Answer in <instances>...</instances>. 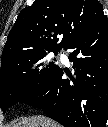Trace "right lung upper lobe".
<instances>
[{
	"mask_svg": "<svg viewBox=\"0 0 108 127\" xmlns=\"http://www.w3.org/2000/svg\"><path fill=\"white\" fill-rule=\"evenodd\" d=\"M104 18L98 0H35L18 15L2 52V65L16 57L66 48ZM59 35L63 38L57 44Z\"/></svg>",
	"mask_w": 108,
	"mask_h": 127,
	"instance_id": "right-lung-upper-lobe-1",
	"label": "right lung upper lobe"
}]
</instances>
